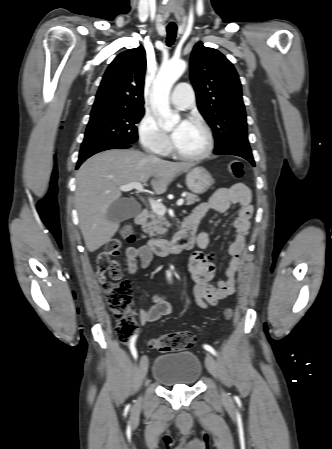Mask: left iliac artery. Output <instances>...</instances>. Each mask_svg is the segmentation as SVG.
Segmentation results:
<instances>
[{"mask_svg": "<svg viewBox=\"0 0 332 449\" xmlns=\"http://www.w3.org/2000/svg\"><path fill=\"white\" fill-rule=\"evenodd\" d=\"M204 349L209 351L211 354H213L214 356H216V351L214 350V348L210 345L205 344L204 345Z\"/></svg>", "mask_w": 332, "mask_h": 449, "instance_id": "left-iliac-artery-1", "label": "left iliac artery"}]
</instances>
